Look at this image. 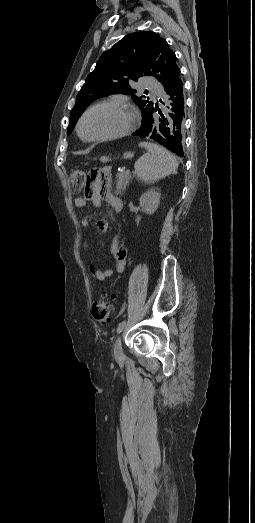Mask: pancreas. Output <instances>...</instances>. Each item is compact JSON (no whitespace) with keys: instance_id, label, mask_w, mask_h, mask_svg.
Segmentation results:
<instances>
[{"instance_id":"1","label":"pancreas","mask_w":255,"mask_h":523,"mask_svg":"<svg viewBox=\"0 0 255 523\" xmlns=\"http://www.w3.org/2000/svg\"><path fill=\"white\" fill-rule=\"evenodd\" d=\"M117 184H116V194H122L124 190H126V186L131 178V174H127L126 172H120V174H117L116 176Z\"/></svg>"}]
</instances>
